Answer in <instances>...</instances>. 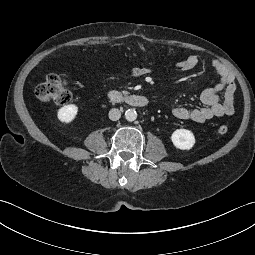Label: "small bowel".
Segmentation results:
<instances>
[{
	"mask_svg": "<svg viewBox=\"0 0 255 255\" xmlns=\"http://www.w3.org/2000/svg\"><path fill=\"white\" fill-rule=\"evenodd\" d=\"M199 58L189 55L175 64L177 71H190L197 67ZM212 67L219 76V82L201 93L200 99L204 106L198 108L175 107L172 114L181 120H191L204 123L210 119L229 116L234 113V98L236 92V81L228 67L219 60L212 62ZM149 73L148 68H137L132 75L143 76ZM223 94L222 99L220 94Z\"/></svg>",
	"mask_w": 255,
	"mask_h": 255,
	"instance_id": "small-bowel-1",
	"label": "small bowel"
}]
</instances>
